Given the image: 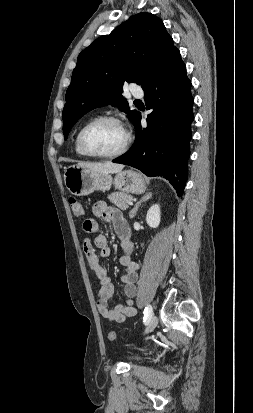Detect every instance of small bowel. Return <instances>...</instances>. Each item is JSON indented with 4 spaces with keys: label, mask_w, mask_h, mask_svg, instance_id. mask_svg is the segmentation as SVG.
I'll return each mask as SVG.
<instances>
[{
    "label": "small bowel",
    "mask_w": 253,
    "mask_h": 413,
    "mask_svg": "<svg viewBox=\"0 0 253 413\" xmlns=\"http://www.w3.org/2000/svg\"><path fill=\"white\" fill-rule=\"evenodd\" d=\"M93 214L113 225L124 249V254L121 255L119 261L125 268V273L121 280L123 282V290L126 296V305H117L114 308H109L108 301L113 295L114 287L106 269L100 262V258L108 257L111 251L108 246L107 238L99 233L98 222L93 218H87L83 221V230L88 234L96 235L94 244L88 238L84 240L83 250L88 267L95 276L99 288L96 303L97 309L109 322L122 323L136 314V309L133 305L137 293L136 282L138 279L139 265L130 257L132 249V244L130 242V228L121 211L116 207L109 206L104 201H99L94 204Z\"/></svg>",
    "instance_id": "c3829d8e"
}]
</instances>
